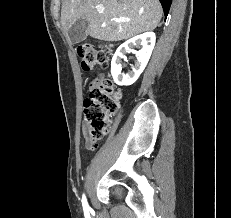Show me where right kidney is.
<instances>
[{"instance_id":"right-kidney-1","label":"right kidney","mask_w":231,"mask_h":218,"mask_svg":"<svg viewBox=\"0 0 231 218\" xmlns=\"http://www.w3.org/2000/svg\"><path fill=\"white\" fill-rule=\"evenodd\" d=\"M155 40V33L147 32L127 40L118 47L111 61V74L116 84L129 86L138 79L149 61ZM134 47H138L140 50L134 51ZM126 53L135 54L137 60L135 64L132 65L131 71L122 73L121 59H125Z\"/></svg>"}]
</instances>
